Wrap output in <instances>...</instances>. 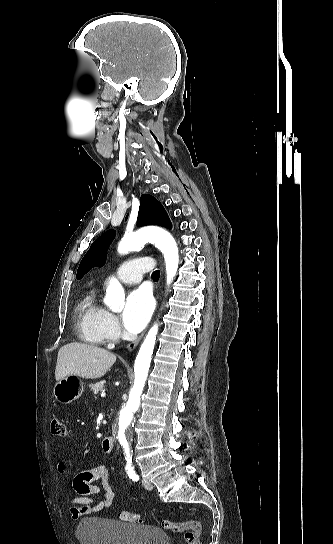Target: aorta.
Segmentation results:
<instances>
[{"label":"aorta","mask_w":333,"mask_h":544,"mask_svg":"<svg viewBox=\"0 0 333 544\" xmlns=\"http://www.w3.org/2000/svg\"><path fill=\"white\" fill-rule=\"evenodd\" d=\"M152 242L163 253L166 265L167 284H170L176 275L179 264L178 247L174 238L165 230L158 227H145L135 233L124 236L118 245L120 254L141 249L145 243ZM125 293L122 285L116 278H112L106 290L104 303L115 312L124 307ZM158 325H154L148 332L137 354L134 364V384L129 393V399L122 408L117 425V438L126 455L131 454L133 413L140 406V397L147 379L152 354L155 346Z\"/></svg>","instance_id":"762f6f07"}]
</instances>
